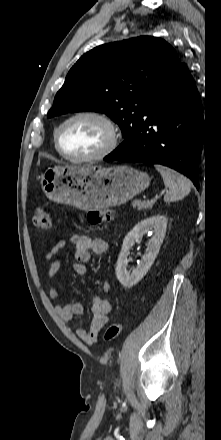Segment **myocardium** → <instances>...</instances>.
Returning <instances> with one entry per match:
<instances>
[{
  "mask_svg": "<svg viewBox=\"0 0 221 440\" xmlns=\"http://www.w3.org/2000/svg\"><path fill=\"white\" fill-rule=\"evenodd\" d=\"M79 118H91L100 121L107 129L108 131V140L105 144V146L96 154L85 156V157H73L70 155H67L60 146V133L62 129L70 122L79 119ZM119 139V133L118 129L113 122V120L107 116L106 114L95 111V110H85L77 112L68 118H66L64 121H62L58 127L55 130L54 133V143L55 148L57 152L67 161L73 162V163H86V162H93L101 160L108 155H110L116 148L117 143Z\"/></svg>",
  "mask_w": 221,
  "mask_h": 440,
  "instance_id": "myocardium-1",
  "label": "myocardium"
}]
</instances>
